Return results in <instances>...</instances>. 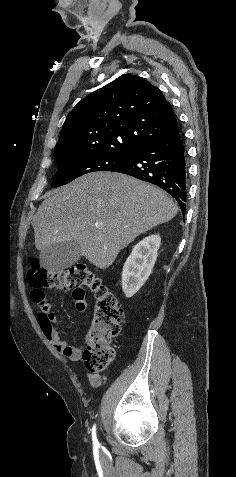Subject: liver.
Listing matches in <instances>:
<instances>
[{"label":"liver","mask_w":236,"mask_h":477,"mask_svg":"<svg viewBox=\"0 0 236 477\" xmlns=\"http://www.w3.org/2000/svg\"><path fill=\"white\" fill-rule=\"evenodd\" d=\"M177 205L161 189L120 173L86 174L49 193L32 226L35 245L75 241L100 269L113 264L137 236L172 220Z\"/></svg>","instance_id":"1"}]
</instances>
